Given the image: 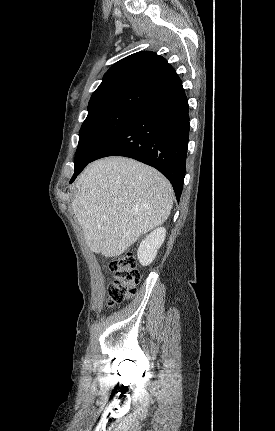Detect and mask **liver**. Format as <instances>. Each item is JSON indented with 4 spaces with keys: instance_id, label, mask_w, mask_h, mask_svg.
<instances>
[{
    "instance_id": "obj_1",
    "label": "liver",
    "mask_w": 275,
    "mask_h": 431,
    "mask_svg": "<svg viewBox=\"0 0 275 431\" xmlns=\"http://www.w3.org/2000/svg\"><path fill=\"white\" fill-rule=\"evenodd\" d=\"M173 188L156 169L125 157L89 164L75 183L72 210L92 252L123 254L167 220Z\"/></svg>"
}]
</instances>
